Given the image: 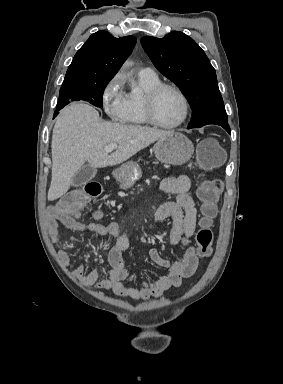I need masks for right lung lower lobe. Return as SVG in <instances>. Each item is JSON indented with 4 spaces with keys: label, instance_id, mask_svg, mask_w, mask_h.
<instances>
[{
    "label": "right lung lower lobe",
    "instance_id": "98d812e1",
    "mask_svg": "<svg viewBox=\"0 0 283 384\" xmlns=\"http://www.w3.org/2000/svg\"><path fill=\"white\" fill-rule=\"evenodd\" d=\"M59 110H60V109H57V111H59ZM57 115H58V113H57V112H55V113H54V117H55V116H57Z\"/></svg>",
    "mask_w": 283,
    "mask_h": 384
}]
</instances>
